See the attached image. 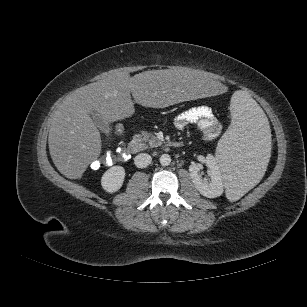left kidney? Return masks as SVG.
<instances>
[{
	"instance_id": "obj_1",
	"label": "left kidney",
	"mask_w": 307,
	"mask_h": 307,
	"mask_svg": "<svg viewBox=\"0 0 307 307\" xmlns=\"http://www.w3.org/2000/svg\"><path fill=\"white\" fill-rule=\"evenodd\" d=\"M205 163L209 168V179L203 178L200 175V164H192L189 166L190 177L200 194L208 198H215L220 196L224 191V177L215 158L211 154L207 155Z\"/></svg>"
}]
</instances>
